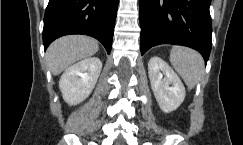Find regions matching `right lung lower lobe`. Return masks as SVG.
Returning <instances> with one entry per match:
<instances>
[{
    "mask_svg": "<svg viewBox=\"0 0 243 145\" xmlns=\"http://www.w3.org/2000/svg\"><path fill=\"white\" fill-rule=\"evenodd\" d=\"M119 0H49L44 16L45 50L58 37L85 34L111 51Z\"/></svg>",
    "mask_w": 243,
    "mask_h": 145,
    "instance_id": "right-lung-lower-lobe-1",
    "label": "right lung lower lobe"
}]
</instances>
